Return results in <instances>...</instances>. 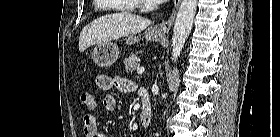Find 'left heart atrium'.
I'll return each instance as SVG.
<instances>
[{
    "label": "left heart atrium",
    "mask_w": 280,
    "mask_h": 137,
    "mask_svg": "<svg viewBox=\"0 0 280 137\" xmlns=\"http://www.w3.org/2000/svg\"><path fill=\"white\" fill-rule=\"evenodd\" d=\"M165 0H152L153 3H156V4H161L163 3Z\"/></svg>",
    "instance_id": "left-heart-atrium-1"
}]
</instances>
